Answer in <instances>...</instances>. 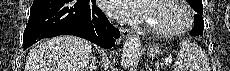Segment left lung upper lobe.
<instances>
[{"label": "left lung upper lobe", "mask_w": 230, "mask_h": 71, "mask_svg": "<svg viewBox=\"0 0 230 71\" xmlns=\"http://www.w3.org/2000/svg\"><path fill=\"white\" fill-rule=\"evenodd\" d=\"M191 7L200 15L203 14L202 0H187Z\"/></svg>", "instance_id": "left-lung-upper-lobe-1"}]
</instances>
